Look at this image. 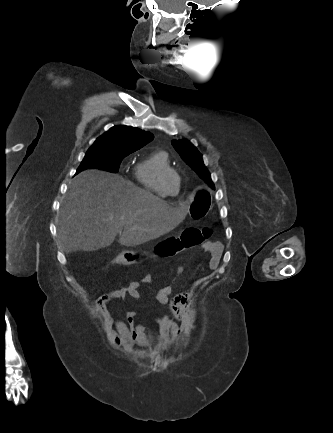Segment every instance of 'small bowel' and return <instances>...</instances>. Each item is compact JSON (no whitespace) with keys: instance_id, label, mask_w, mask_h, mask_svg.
<instances>
[{"instance_id":"c3829d8e","label":"small bowel","mask_w":333,"mask_h":433,"mask_svg":"<svg viewBox=\"0 0 333 433\" xmlns=\"http://www.w3.org/2000/svg\"><path fill=\"white\" fill-rule=\"evenodd\" d=\"M210 252L208 263L210 269L217 268L221 258V248L218 244H208L203 247ZM179 251V250H178ZM176 254V253H175ZM184 265L175 269V275L183 272ZM153 276L146 274L141 281L131 282L123 288L112 290L99 296L96 300V311L103 320L110 345L114 348H124L126 352H133L136 346L149 348L154 346H165L174 343L182 334H191L195 327V298L190 293L171 296V283L160 287L155 293V300L159 305H167L175 320L158 315L155 321L160 328V335H152L145 326L138 322L137 312L129 310L124 318L115 316L109 309V304L115 300L126 301L127 299H138L141 296V284L151 283ZM144 355V351H139Z\"/></svg>"}]
</instances>
